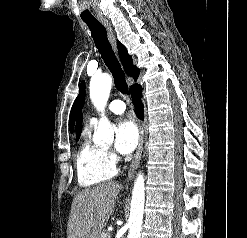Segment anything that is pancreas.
Masks as SVG:
<instances>
[{
    "label": "pancreas",
    "mask_w": 247,
    "mask_h": 238,
    "mask_svg": "<svg viewBox=\"0 0 247 238\" xmlns=\"http://www.w3.org/2000/svg\"><path fill=\"white\" fill-rule=\"evenodd\" d=\"M100 238H111V236H110V233L105 231L101 234Z\"/></svg>",
    "instance_id": "1"
}]
</instances>
